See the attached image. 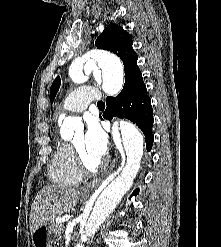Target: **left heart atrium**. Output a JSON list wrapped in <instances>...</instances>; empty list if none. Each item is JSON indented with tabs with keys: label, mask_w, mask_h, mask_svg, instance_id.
<instances>
[{
	"label": "left heart atrium",
	"mask_w": 221,
	"mask_h": 247,
	"mask_svg": "<svg viewBox=\"0 0 221 247\" xmlns=\"http://www.w3.org/2000/svg\"><path fill=\"white\" fill-rule=\"evenodd\" d=\"M84 146L91 156L99 160L105 155L108 146L107 136L96 122H90L87 126Z\"/></svg>",
	"instance_id": "1"
}]
</instances>
